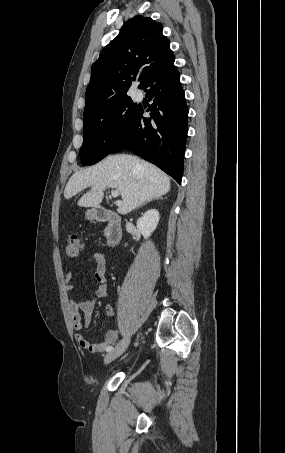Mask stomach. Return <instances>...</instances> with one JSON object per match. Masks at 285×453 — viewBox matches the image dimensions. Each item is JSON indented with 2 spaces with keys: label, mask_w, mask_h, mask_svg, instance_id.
Returning <instances> with one entry per match:
<instances>
[{
  "label": "stomach",
  "mask_w": 285,
  "mask_h": 453,
  "mask_svg": "<svg viewBox=\"0 0 285 453\" xmlns=\"http://www.w3.org/2000/svg\"><path fill=\"white\" fill-rule=\"evenodd\" d=\"M86 218L88 220H93L95 218V214H94L93 210H89L86 212Z\"/></svg>",
  "instance_id": "1"
}]
</instances>
